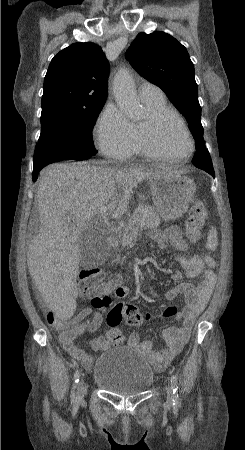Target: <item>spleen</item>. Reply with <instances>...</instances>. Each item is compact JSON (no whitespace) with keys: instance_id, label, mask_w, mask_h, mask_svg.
<instances>
[{"instance_id":"spleen-1","label":"spleen","mask_w":245,"mask_h":450,"mask_svg":"<svg viewBox=\"0 0 245 450\" xmlns=\"http://www.w3.org/2000/svg\"><path fill=\"white\" fill-rule=\"evenodd\" d=\"M217 245H218L217 231L216 228L212 227L207 237L206 246L210 250H215Z\"/></svg>"}]
</instances>
